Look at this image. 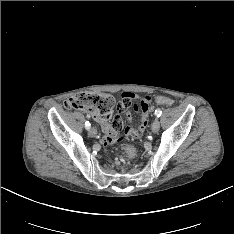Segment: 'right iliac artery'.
Segmentation results:
<instances>
[{"label":"right iliac artery","mask_w":234,"mask_h":234,"mask_svg":"<svg viewBox=\"0 0 234 234\" xmlns=\"http://www.w3.org/2000/svg\"><path fill=\"white\" fill-rule=\"evenodd\" d=\"M85 128L87 130H89L91 127H90V123L88 121L85 122Z\"/></svg>","instance_id":"right-iliac-artery-1"}]
</instances>
